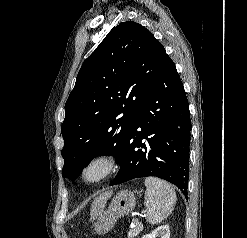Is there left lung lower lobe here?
Returning a JSON list of instances; mask_svg holds the SVG:
<instances>
[{
  "label": "left lung lower lobe",
  "mask_w": 247,
  "mask_h": 238,
  "mask_svg": "<svg viewBox=\"0 0 247 238\" xmlns=\"http://www.w3.org/2000/svg\"><path fill=\"white\" fill-rule=\"evenodd\" d=\"M190 112L182 81L168 56L142 104L110 185L154 176L185 193L189 177Z\"/></svg>",
  "instance_id": "1"
}]
</instances>
